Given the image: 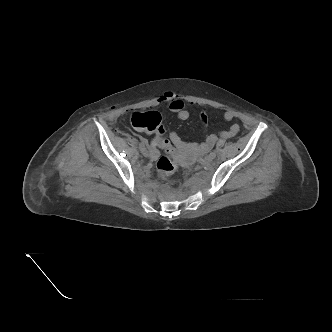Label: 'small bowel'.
I'll list each match as a JSON object with an SVG mask.
<instances>
[{"mask_svg":"<svg viewBox=\"0 0 332 332\" xmlns=\"http://www.w3.org/2000/svg\"><path fill=\"white\" fill-rule=\"evenodd\" d=\"M161 101L169 103V109L177 116L181 121H185L190 117V112L186 109L185 102L182 98L177 96L173 92H166L162 97ZM223 118L225 121L230 122L236 118L234 111L230 109H225L223 113ZM200 119L204 127H207L208 113L206 109L200 111ZM240 126L238 124H232L226 131H222L219 135L209 134L205 137V140L200 143H186L176 132H171L169 135L170 142L180 150L189 152H205L212 148L218 138H232L238 134ZM158 141L154 138L151 146L148 150H145V155L152 159L158 156Z\"/></svg>","mask_w":332,"mask_h":332,"instance_id":"obj_1","label":"small bowel"}]
</instances>
